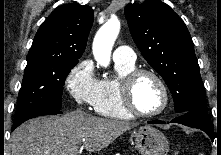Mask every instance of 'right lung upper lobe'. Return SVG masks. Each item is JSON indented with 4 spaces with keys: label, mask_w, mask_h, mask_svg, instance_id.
Returning <instances> with one entry per match:
<instances>
[{
    "label": "right lung upper lobe",
    "mask_w": 221,
    "mask_h": 155,
    "mask_svg": "<svg viewBox=\"0 0 221 155\" xmlns=\"http://www.w3.org/2000/svg\"><path fill=\"white\" fill-rule=\"evenodd\" d=\"M93 19V9L88 5L57 7L41 24L26 59L78 62L85 50Z\"/></svg>",
    "instance_id": "1"
}]
</instances>
